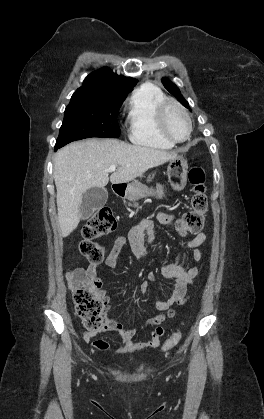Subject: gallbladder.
<instances>
[{"mask_svg":"<svg viewBox=\"0 0 264 419\" xmlns=\"http://www.w3.org/2000/svg\"><path fill=\"white\" fill-rule=\"evenodd\" d=\"M108 199V192L105 188L93 187L88 189L82 196L80 213L83 220L92 216L94 211L103 207Z\"/></svg>","mask_w":264,"mask_h":419,"instance_id":"obj_1","label":"gallbladder"}]
</instances>
